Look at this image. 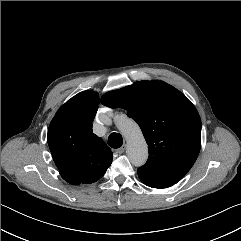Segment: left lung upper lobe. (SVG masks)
<instances>
[{
	"mask_svg": "<svg viewBox=\"0 0 241 241\" xmlns=\"http://www.w3.org/2000/svg\"><path fill=\"white\" fill-rule=\"evenodd\" d=\"M101 103L124 108L140 126L149 157L140 170L177 183L201 148V119L191 101L161 81H141L106 93Z\"/></svg>",
	"mask_w": 241,
	"mask_h": 241,
	"instance_id": "5c2ea615",
	"label": "left lung upper lobe"
}]
</instances>
